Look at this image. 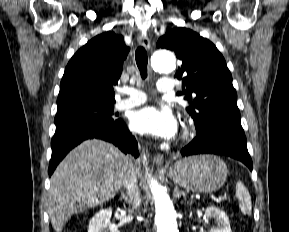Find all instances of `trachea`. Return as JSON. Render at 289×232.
<instances>
[{
    "instance_id": "3493384b",
    "label": "trachea",
    "mask_w": 289,
    "mask_h": 232,
    "mask_svg": "<svg viewBox=\"0 0 289 232\" xmlns=\"http://www.w3.org/2000/svg\"><path fill=\"white\" fill-rule=\"evenodd\" d=\"M135 59L138 69L140 71L142 79L147 77V64H148V56L145 48L140 46L137 48L135 52Z\"/></svg>"
}]
</instances>
